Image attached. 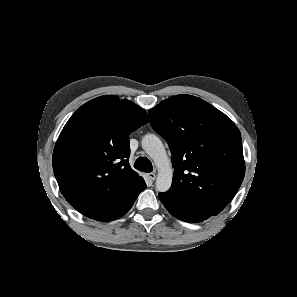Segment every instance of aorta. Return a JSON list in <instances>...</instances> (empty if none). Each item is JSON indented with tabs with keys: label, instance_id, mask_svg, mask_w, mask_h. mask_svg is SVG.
Segmentation results:
<instances>
[{
	"label": "aorta",
	"instance_id": "1",
	"mask_svg": "<svg viewBox=\"0 0 297 297\" xmlns=\"http://www.w3.org/2000/svg\"><path fill=\"white\" fill-rule=\"evenodd\" d=\"M141 145L158 169L156 178L157 191H168L172 184L173 171L162 141L154 134H146L142 138Z\"/></svg>",
	"mask_w": 297,
	"mask_h": 297
}]
</instances>
